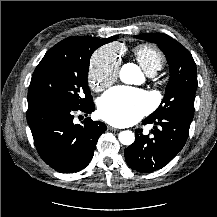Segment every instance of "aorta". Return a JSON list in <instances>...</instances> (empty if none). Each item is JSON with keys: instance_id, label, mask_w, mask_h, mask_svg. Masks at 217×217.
Masks as SVG:
<instances>
[{"instance_id": "obj_1", "label": "aorta", "mask_w": 217, "mask_h": 217, "mask_svg": "<svg viewBox=\"0 0 217 217\" xmlns=\"http://www.w3.org/2000/svg\"><path fill=\"white\" fill-rule=\"evenodd\" d=\"M142 78L140 68L133 64H124L120 70V79L126 84H138ZM118 139L123 145H131L135 141V135L130 130L121 131L118 135Z\"/></svg>"}]
</instances>
